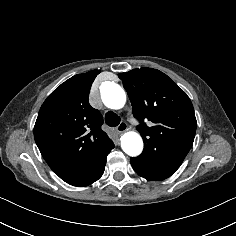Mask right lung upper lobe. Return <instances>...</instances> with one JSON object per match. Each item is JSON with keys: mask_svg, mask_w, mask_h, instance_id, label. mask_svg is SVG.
<instances>
[{"mask_svg": "<svg viewBox=\"0 0 236 236\" xmlns=\"http://www.w3.org/2000/svg\"><path fill=\"white\" fill-rule=\"evenodd\" d=\"M99 73L92 70L73 76L40 108L35 142L57 175L92 167L114 145L101 130L102 115L88 103L91 85Z\"/></svg>", "mask_w": 236, "mask_h": 236, "instance_id": "cb5924a9", "label": "right lung upper lobe"}]
</instances>
